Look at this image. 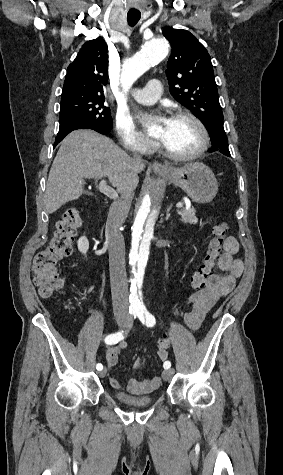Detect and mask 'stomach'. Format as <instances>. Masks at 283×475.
<instances>
[{
    "mask_svg": "<svg viewBox=\"0 0 283 475\" xmlns=\"http://www.w3.org/2000/svg\"><path fill=\"white\" fill-rule=\"evenodd\" d=\"M165 168L168 172H158L154 168L152 170L169 184H175L182 188L192 202L208 204L215 198L218 192V182L212 170L202 162L184 164L182 168H172V166H165Z\"/></svg>",
    "mask_w": 283,
    "mask_h": 475,
    "instance_id": "0dacf381",
    "label": "stomach"
}]
</instances>
